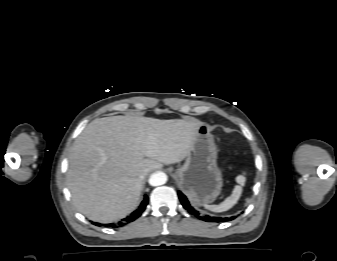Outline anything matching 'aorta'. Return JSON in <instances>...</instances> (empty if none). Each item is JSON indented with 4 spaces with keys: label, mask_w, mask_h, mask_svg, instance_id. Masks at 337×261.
Here are the masks:
<instances>
[{
    "label": "aorta",
    "mask_w": 337,
    "mask_h": 261,
    "mask_svg": "<svg viewBox=\"0 0 337 261\" xmlns=\"http://www.w3.org/2000/svg\"><path fill=\"white\" fill-rule=\"evenodd\" d=\"M167 182V175L164 172H155L149 178V184L151 186L163 185Z\"/></svg>",
    "instance_id": "762f6f07"
}]
</instances>
